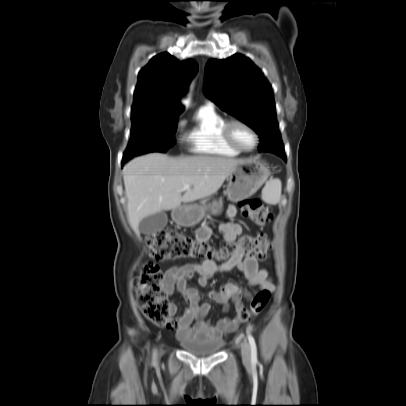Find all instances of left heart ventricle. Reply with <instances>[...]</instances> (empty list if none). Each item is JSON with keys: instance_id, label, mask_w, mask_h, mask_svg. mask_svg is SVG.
I'll return each mask as SVG.
<instances>
[{"instance_id": "obj_1", "label": "left heart ventricle", "mask_w": 406, "mask_h": 406, "mask_svg": "<svg viewBox=\"0 0 406 406\" xmlns=\"http://www.w3.org/2000/svg\"><path fill=\"white\" fill-rule=\"evenodd\" d=\"M232 135L235 141L244 148H251L254 145L252 133L241 125H235L232 128Z\"/></svg>"}]
</instances>
